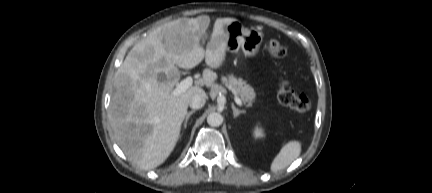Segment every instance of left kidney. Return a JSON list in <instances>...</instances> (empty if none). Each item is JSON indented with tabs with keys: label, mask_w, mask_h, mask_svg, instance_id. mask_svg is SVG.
Segmentation results:
<instances>
[{
	"label": "left kidney",
	"mask_w": 432,
	"mask_h": 193,
	"mask_svg": "<svg viewBox=\"0 0 432 193\" xmlns=\"http://www.w3.org/2000/svg\"><path fill=\"white\" fill-rule=\"evenodd\" d=\"M253 136L255 138H263V137H265V133H264L262 128L255 127V129L253 130Z\"/></svg>",
	"instance_id": "obj_1"
}]
</instances>
